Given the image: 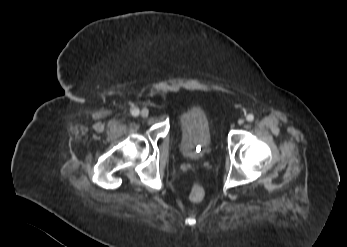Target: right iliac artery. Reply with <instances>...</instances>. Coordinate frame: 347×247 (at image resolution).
<instances>
[{
  "instance_id": "right-iliac-artery-1",
  "label": "right iliac artery",
  "mask_w": 347,
  "mask_h": 247,
  "mask_svg": "<svg viewBox=\"0 0 347 247\" xmlns=\"http://www.w3.org/2000/svg\"><path fill=\"white\" fill-rule=\"evenodd\" d=\"M130 112H131V114H132L133 116H138V114H139V109L136 108V107H132V108L130 109Z\"/></svg>"
}]
</instances>
